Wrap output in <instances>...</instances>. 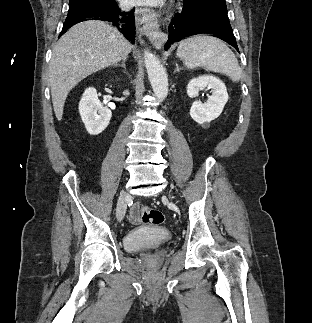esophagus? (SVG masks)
Segmentation results:
<instances>
[{"mask_svg": "<svg viewBox=\"0 0 312 323\" xmlns=\"http://www.w3.org/2000/svg\"><path fill=\"white\" fill-rule=\"evenodd\" d=\"M148 15L154 18L153 12L147 7H139L136 8V16H143ZM139 32L141 34L146 35L148 40L151 42L152 45L156 48H161V46L166 41V35L159 29V24L157 20H153L150 23L144 24L139 27Z\"/></svg>", "mask_w": 312, "mask_h": 323, "instance_id": "1", "label": "esophagus"}]
</instances>
